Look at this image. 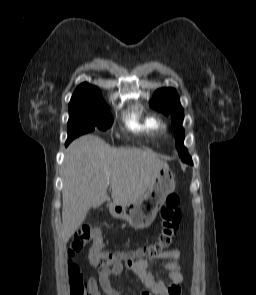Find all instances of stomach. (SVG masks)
I'll use <instances>...</instances> for the list:
<instances>
[{"mask_svg": "<svg viewBox=\"0 0 256 295\" xmlns=\"http://www.w3.org/2000/svg\"><path fill=\"white\" fill-rule=\"evenodd\" d=\"M175 190L174 174L168 165L162 167L147 192L127 205L113 203L109 211L114 218L125 220L132 228H148L166 198Z\"/></svg>", "mask_w": 256, "mask_h": 295, "instance_id": "obj_1", "label": "stomach"}]
</instances>
